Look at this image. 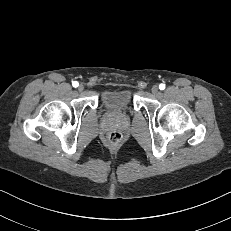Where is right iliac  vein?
Listing matches in <instances>:
<instances>
[{"instance_id":"right-iliac-vein-1","label":"right iliac vein","mask_w":231,"mask_h":231,"mask_svg":"<svg viewBox=\"0 0 231 231\" xmlns=\"http://www.w3.org/2000/svg\"><path fill=\"white\" fill-rule=\"evenodd\" d=\"M78 90L79 91H83L84 90V86L82 84H80L79 87H78Z\"/></svg>"}]
</instances>
